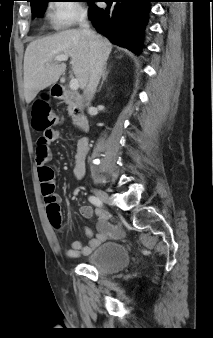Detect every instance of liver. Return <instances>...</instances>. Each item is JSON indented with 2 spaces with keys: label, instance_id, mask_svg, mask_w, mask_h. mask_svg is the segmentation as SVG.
Segmentation results:
<instances>
[{
  "label": "liver",
  "instance_id": "liver-1",
  "mask_svg": "<svg viewBox=\"0 0 213 338\" xmlns=\"http://www.w3.org/2000/svg\"><path fill=\"white\" fill-rule=\"evenodd\" d=\"M103 52L108 56L111 43L97 35ZM58 55L71 58L72 73L80 88L84 89L89 81L90 47L88 38L81 30H67L31 42L24 56V96L30 103L39 91L55 84L64 73L66 65L54 62ZM48 64V65H47Z\"/></svg>",
  "mask_w": 213,
  "mask_h": 338
}]
</instances>
